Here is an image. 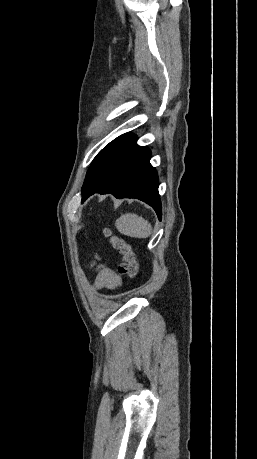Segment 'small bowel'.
<instances>
[{
    "label": "small bowel",
    "mask_w": 257,
    "mask_h": 459,
    "mask_svg": "<svg viewBox=\"0 0 257 459\" xmlns=\"http://www.w3.org/2000/svg\"><path fill=\"white\" fill-rule=\"evenodd\" d=\"M121 279L115 271L103 264L95 266V279L93 286L98 290H114L120 287Z\"/></svg>",
    "instance_id": "obj_1"
}]
</instances>
